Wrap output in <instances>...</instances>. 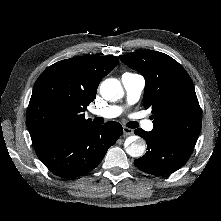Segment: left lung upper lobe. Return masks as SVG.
<instances>
[{
    "label": "left lung upper lobe",
    "instance_id": "1",
    "mask_svg": "<svg viewBox=\"0 0 221 221\" xmlns=\"http://www.w3.org/2000/svg\"><path fill=\"white\" fill-rule=\"evenodd\" d=\"M146 81L143 105L152 109V133L194 147L202 115L193 82L185 69L170 56L143 50L120 56Z\"/></svg>",
    "mask_w": 221,
    "mask_h": 221
}]
</instances>
